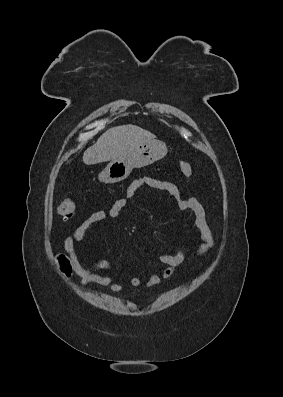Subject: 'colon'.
Returning a JSON list of instances; mask_svg holds the SVG:
<instances>
[{
	"instance_id": "1",
	"label": "colon",
	"mask_w": 283,
	"mask_h": 397,
	"mask_svg": "<svg viewBox=\"0 0 283 397\" xmlns=\"http://www.w3.org/2000/svg\"><path fill=\"white\" fill-rule=\"evenodd\" d=\"M179 170H180L181 174L186 177H190L193 172L192 166L190 165V163H188L186 161H181L179 163ZM75 211H76L75 204L72 201V199H70V198L63 199L57 207L58 215L65 219L73 217L75 214ZM58 261H59L61 271L63 273H65L66 275H69L72 271V266H71L69 260L67 259V257L64 255H60L58 257Z\"/></svg>"
}]
</instances>
